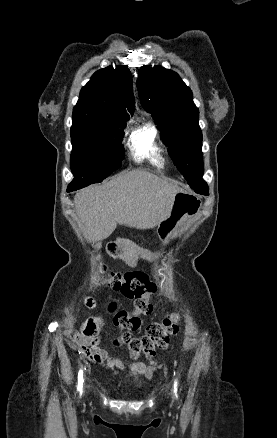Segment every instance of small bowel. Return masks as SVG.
Listing matches in <instances>:
<instances>
[{"mask_svg":"<svg viewBox=\"0 0 277 438\" xmlns=\"http://www.w3.org/2000/svg\"><path fill=\"white\" fill-rule=\"evenodd\" d=\"M76 343L82 347L92 346L87 351H83L84 355L89 358L91 362H95L97 360L101 362V365H105L106 367L111 366L116 373L127 371L128 377H138L141 376L145 381H150L155 372L160 370L163 367L161 360H153L149 364L143 362H136L128 364L121 358L108 356L107 350L104 347H93L96 346L99 342V338H82L79 335L74 337ZM90 353V357H89ZM96 355V356H95ZM95 365H98V362H95ZM112 369L107 371L109 376L114 374Z\"/></svg>","mask_w":277,"mask_h":438,"instance_id":"obj_1","label":"small bowel"}]
</instances>
